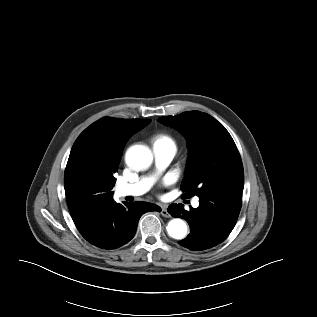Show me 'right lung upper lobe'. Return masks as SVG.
<instances>
[{
    "mask_svg": "<svg viewBox=\"0 0 317 317\" xmlns=\"http://www.w3.org/2000/svg\"><path fill=\"white\" fill-rule=\"evenodd\" d=\"M150 121L105 117L91 124L73 144L65 176L73 169L83 167L99 172L104 178L115 179L127 140Z\"/></svg>",
    "mask_w": 317,
    "mask_h": 317,
    "instance_id": "cb5924a9",
    "label": "right lung upper lobe"
}]
</instances>
